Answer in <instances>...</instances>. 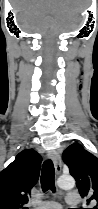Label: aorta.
<instances>
[{"instance_id": "762f6f07", "label": "aorta", "mask_w": 98, "mask_h": 209, "mask_svg": "<svg viewBox=\"0 0 98 209\" xmlns=\"http://www.w3.org/2000/svg\"><path fill=\"white\" fill-rule=\"evenodd\" d=\"M57 185L59 188L64 190H70L75 186V180L71 176H61L57 180Z\"/></svg>"}]
</instances>
